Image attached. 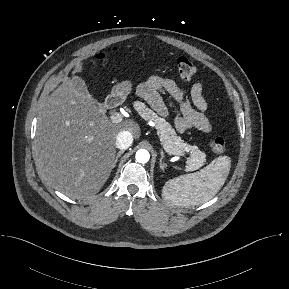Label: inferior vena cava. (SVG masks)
I'll return each instance as SVG.
<instances>
[{
    "label": "inferior vena cava",
    "instance_id": "1",
    "mask_svg": "<svg viewBox=\"0 0 289 289\" xmlns=\"http://www.w3.org/2000/svg\"><path fill=\"white\" fill-rule=\"evenodd\" d=\"M133 142V136L129 131H120L116 138V147L125 150L131 146Z\"/></svg>",
    "mask_w": 289,
    "mask_h": 289
}]
</instances>
